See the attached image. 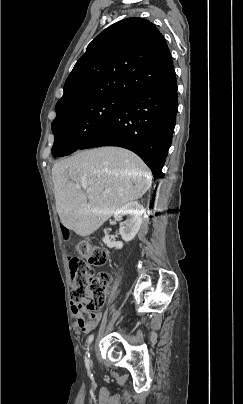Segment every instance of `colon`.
I'll use <instances>...</instances> for the list:
<instances>
[{"label": "colon", "instance_id": "5ec220e1", "mask_svg": "<svg viewBox=\"0 0 243 404\" xmlns=\"http://www.w3.org/2000/svg\"><path fill=\"white\" fill-rule=\"evenodd\" d=\"M77 255L70 261L72 279L75 288L71 292L74 302L85 301L90 317L94 316L104 304V292L109 277L105 273L94 276L93 267L107 262L108 254L103 249L87 242L80 241Z\"/></svg>", "mask_w": 243, "mask_h": 404}]
</instances>
